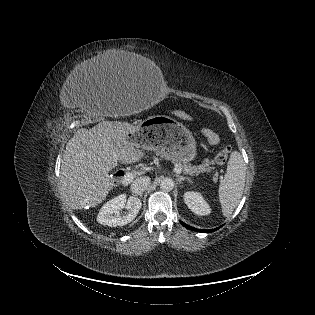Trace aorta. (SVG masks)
Here are the masks:
<instances>
[{
	"label": "aorta",
	"instance_id": "762f6f07",
	"mask_svg": "<svg viewBox=\"0 0 315 315\" xmlns=\"http://www.w3.org/2000/svg\"><path fill=\"white\" fill-rule=\"evenodd\" d=\"M160 188L164 191H171L174 188V181L172 178L166 177L161 180Z\"/></svg>",
	"mask_w": 315,
	"mask_h": 315
}]
</instances>
